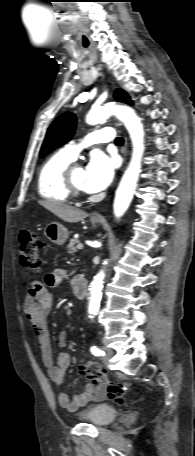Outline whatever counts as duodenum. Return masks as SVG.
<instances>
[{"label": "duodenum", "mask_w": 195, "mask_h": 456, "mask_svg": "<svg viewBox=\"0 0 195 456\" xmlns=\"http://www.w3.org/2000/svg\"><path fill=\"white\" fill-rule=\"evenodd\" d=\"M72 290L78 299H84L87 295L88 284L83 276H77L72 281Z\"/></svg>", "instance_id": "1"}]
</instances>
